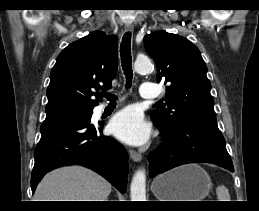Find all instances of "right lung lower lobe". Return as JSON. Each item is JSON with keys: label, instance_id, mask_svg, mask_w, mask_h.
<instances>
[{"label": "right lung lower lobe", "instance_id": "98d812e1", "mask_svg": "<svg viewBox=\"0 0 259 211\" xmlns=\"http://www.w3.org/2000/svg\"><path fill=\"white\" fill-rule=\"evenodd\" d=\"M90 120L91 117H65L43 122L34 152L32 193L47 172L74 164L96 171L121 192L126 191L129 165L125 148L115 139L103 136L102 127H94Z\"/></svg>", "mask_w": 259, "mask_h": 211}]
</instances>
